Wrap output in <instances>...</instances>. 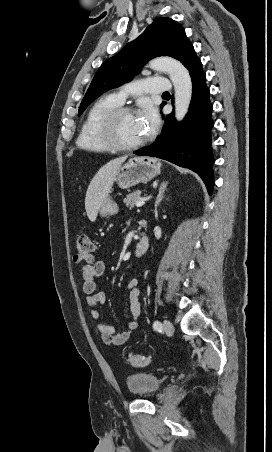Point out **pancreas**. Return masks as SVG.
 <instances>
[{"instance_id":"pancreas-1","label":"pancreas","mask_w":272,"mask_h":452,"mask_svg":"<svg viewBox=\"0 0 272 452\" xmlns=\"http://www.w3.org/2000/svg\"><path fill=\"white\" fill-rule=\"evenodd\" d=\"M140 196H141V191L136 190V191H134V192L128 194V195L124 198L123 202L126 204L127 207L132 208V207H134L135 203L138 201V199L140 198Z\"/></svg>"}]
</instances>
